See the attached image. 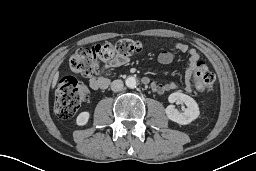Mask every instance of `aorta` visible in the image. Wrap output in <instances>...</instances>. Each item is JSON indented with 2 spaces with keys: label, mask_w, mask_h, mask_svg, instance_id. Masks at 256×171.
<instances>
[{
  "label": "aorta",
  "mask_w": 256,
  "mask_h": 171,
  "mask_svg": "<svg viewBox=\"0 0 256 171\" xmlns=\"http://www.w3.org/2000/svg\"><path fill=\"white\" fill-rule=\"evenodd\" d=\"M125 84H126V86H127L128 88L133 89V88H136V86H137V80H136L135 77L130 76V77H128V78L125 80Z\"/></svg>",
  "instance_id": "aorta-1"
}]
</instances>
